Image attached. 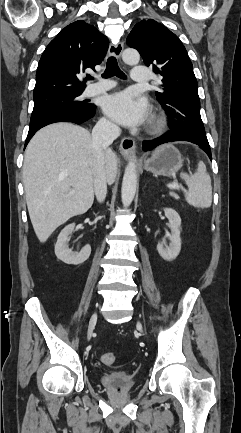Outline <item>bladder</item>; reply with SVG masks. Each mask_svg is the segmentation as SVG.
Segmentation results:
<instances>
[{
  "label": "bladder",
  "mask_w": 241,
  "mask_h": 433,
  "mask_svg": "<svg viewBox=\"0 0 241 433\" xmlns=\"http://www.w3.org/2000/svg\"><path fill=\"white\" fill-rule=\"evenodd\" d=\"M100 381L107 389L118 392L128 391L135 385L134 375L125 371H113L103 374Z\"/></svg>",
  "instance_id": "obj_1"
}]
</instances>
